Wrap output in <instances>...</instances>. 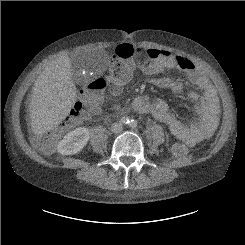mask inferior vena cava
Segmentation results:
<instances>
[{
    "label": "inferior vena cava",
    "mask_w": 245,
    "mask_h": 245,
    "mask_svg": "<svg viewBox=\"0 0 245 245\" xmlns=\"http://www.w3.org/2000/svg\"><path fill=\"white\" fill-rule=\"evenodd\" d=\"M123 130V126H122V123H119V122H115L111 125V131L113 133H120L122 132Z\"/></svg>",
    "instance_id": "obj_1"
}]
</instances>
